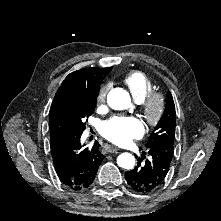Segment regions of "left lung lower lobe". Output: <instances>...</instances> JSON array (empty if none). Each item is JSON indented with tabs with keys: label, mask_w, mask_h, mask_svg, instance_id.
I'll use <instances>...</instances> for the list:
<instances>
[{
	"label": "left lung lower lobe",
	"mask_w": 221,
	"mask_h": 221,
	"mask_svg": "<svg viewBox=\"0 0 221 221\" xmlns=\"http://www.w3.org/2000/svg\"><path fill=\"white\" fill-rule=\"evenodd\" d=\"M148 154L152 157L150 161L141 165L139 159V165L125 173L129 186L139 193L154 191L164 182L173 158V152L162 146L148 149Z\"/></svg>",
	"instance_id": "left-lung-lower-lobe-1"
}]
</instances>
